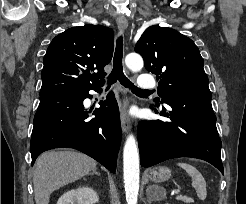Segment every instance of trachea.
<instances>
[{
    "instance_id": "1",
    "label": "trachea",
    "mask_w": 246,
    "mask_h": 204,
    "mask_svg": "<svg viewBox=\"0 0 246 204\" xmlns=\"http://www.w3.org/2000/svg\"><path fill=\"white\" fill-rule=\"evenodd\" d=\"M122 58H123V38L120 36L117 39L116 43V50L114 54L113 60V70L108 77V84L106 89H109L111 84L115 83L117 80L126 88L131 89V91L135 94H142V93H150L149 90H142L136 87L123 73L122 67Z\"/></svg>"
}]
</instances>
